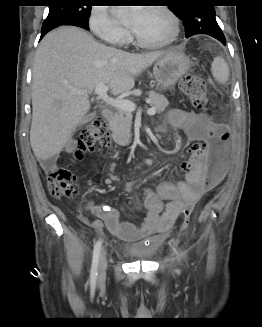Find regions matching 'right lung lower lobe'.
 <instances>
[{"mask_svg": "<svg viewBox=\"0 0 262 327\" xmlns=\"http://www.w3.org/2000/svg\"><path fill=\"white\" fill-rule=\"evenodd\" d=\"M61 25H74V26H78L84 29H89L88 27V23H83L80 21H76V20H63V21H58L52 24H48V25H43L42 29H41V37L40 39H42L44 37V35H46L49 31H51L52 29L61 26Z\"/></svg>", "mask_w": 262, "mask_h": 327, "instance_id": "right-lung-lower-lobe-1", "label": "right lung lower lobe"}]
</instances>
